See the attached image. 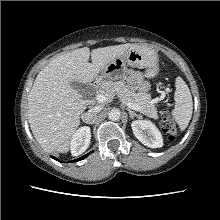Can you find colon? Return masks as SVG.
<instances>
[{
	"mask_svg": "<svg viewBox=\"0 0 220 220\" xmlns=\"http://www.w3.org/2000/svg\"><path fill=\"white\" fill-rule=\"evenodd\" d=\"M161 126L167 135L168 141L172 142L176 138V128L173 120L168 112H166L162 118Z\"/></svg>",
	"mask_w": 220,
	"mask_h": 220,
	"instance_id": "colon-1",
	"label": "colon"
}]
</instances>
